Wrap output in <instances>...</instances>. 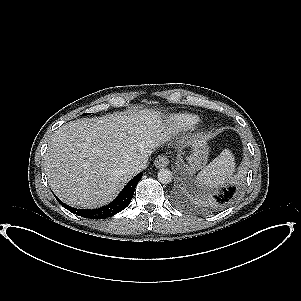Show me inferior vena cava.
<instances>
[{
	"label": "inferior vena cava",
	"mask_w": 301,
	"mask_h": 301,
	"mask_svg": "<svg viewBox=\"0 0 301 301\" xmlns=\"http://www.w3.org/2000/svg\"><path fill=\"white\" fill-rule=\"evenodd\" d=\"M148 159L149 158H144L142 160L136 161L135 163H133L132 167H131V171L135 174L143 171L144 169L147 168L148 166Z\"/></svg>",
	"instance_id": "obj_1"
}]
</instances>
